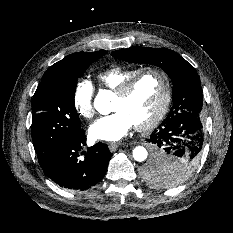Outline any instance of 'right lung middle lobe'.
<instances>
[{"instance_id": "dd1d6c3e", "label": "right lung middle lobe", "mask_w": 233, "mask_h": 233, "mask_svg": "<svg viewBox=\"0 0 233 233\" xmlns=\"http://www.w3.org/2000/svg\"><path fill=\"white\" fill-rule=\"evenodd\" d=\"M106 51L86 52L73 64L44 74L32 101L31 134L41 167L82 129L75 109L77 79Z\"/></svg>"}]
</instances>
